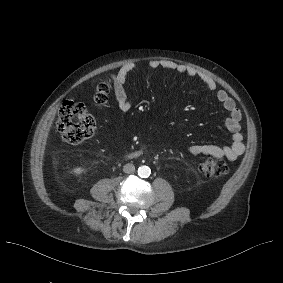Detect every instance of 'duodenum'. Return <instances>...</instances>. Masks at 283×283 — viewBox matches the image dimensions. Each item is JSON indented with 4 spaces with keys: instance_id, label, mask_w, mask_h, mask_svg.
Segmentation results:
<instances>
[{
    "instance_id": "1",
    "label": "duodenum",
    "mask_w": 283,
    "mask_h": 283,
    "mask_svg": "<svg viewBox=\"0 0 283 283\" xmlns=\"http://www.w3.org/2000/svg\"><path fill=\"white\" fill-rule=\"evenodd\" d=\"M142 154L141 151H135V152H132L129 157H139L140 155Z\"/></svg>"
}]
</instances>
